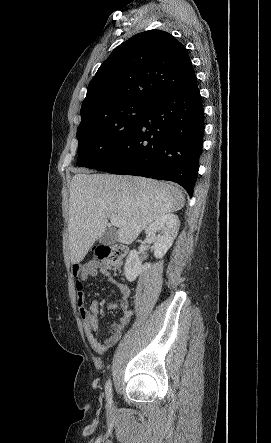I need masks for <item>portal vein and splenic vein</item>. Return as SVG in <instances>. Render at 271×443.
<instances>
[{"label": "portal vein and splenic vein", "instance_id": "portal-vein-and-splenic-vein-1", "mask_svg": "<svg viewBox=\"0 0 271 443\" xmlns=\"http://www.w3.org/2000/svg\"><path fill=\"white\" fill-rule=\"evenodd\" d=\"M110 222L112 223V225H118V223H120V220L119 218H117L116 214H111Z\"/></svg>", "mask_w": 271, "mask_h": 443}]
</instances>
